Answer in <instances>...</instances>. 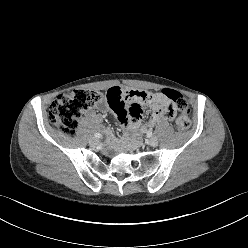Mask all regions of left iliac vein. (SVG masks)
<instances>
[{
  "instance_id": "left-iliac-vein-1",
  "label": "left iliac vein",
  "mask_w": 248,
  "mask_h": 248,
  "mask_svg": "<svg viewBox=\"0 0 248 248\" xmlns=\"http://www.w3.org/2000/svg\"><path fill=\"white\" fill-rule=\"evenodd\" d=\"M149 145L151 147H156L158 145V139L156 137H151L149 139Z\"/></svg>"
}]
</instances>
